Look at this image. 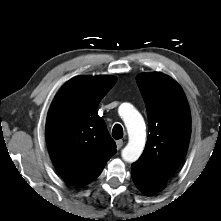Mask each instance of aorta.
Masks as SVG:
<instances>
[{
	"instance_id": "1",
	"label": "aorta",
	"mask_w": 221,
	"mask_h": 221,
	"mask_svg": "<svg viewBox=\"0 0 221 221\" xmlns=\"http://www.w3.org/2000/svg\"><path fill=\"white\" fill-rule=\"evenodd\" d=\"M128 131L129 141L122 150L124 161L133 163L141 156L145 142V123L141 114L129 104H122L119 110Z\"/></svg>"
}]
</instances>
